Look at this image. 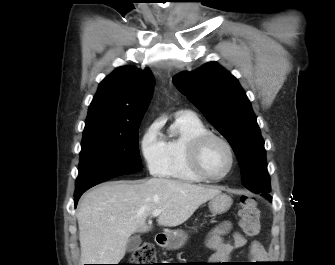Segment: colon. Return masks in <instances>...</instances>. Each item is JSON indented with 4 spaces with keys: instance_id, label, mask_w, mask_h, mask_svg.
<instances>
[{
    "instance_id": "colon-1",
    "label": "colon",
    "mask_w": 335,
    "mask_h": 265,
    "mask_svg": "<svg viewBox=\"0 0 335 265\" xmlns=\"http://www.w3.org/2000/svg\"><path fill=\"white\" fill-rule=\"evenodd\" d=\"M240 225L248 236L258 234L260 230V210L256 201L249 196L240 199ZM156 259L155 248L150 243H144L132 254L129 263L125 265H154Z\"/></svg>"
}]
</instances>
